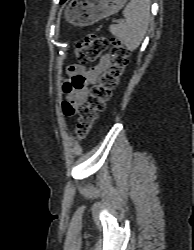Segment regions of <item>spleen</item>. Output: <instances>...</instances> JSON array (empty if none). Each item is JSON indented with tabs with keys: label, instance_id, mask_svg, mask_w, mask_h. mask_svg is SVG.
Segmentation results:
<instances>
[{
	"label": "spleen",
	"instance_id": "spleen-1",
	"mask_svg": "<svg viewBox=\"0 0 194 250\" xmlns=\"http://www.w3.org/2000/svg\"><path fill=\"white\" fill-rule=\"evenodd\" d=\"M125 22L111 25L109 31L129 50H135L142 42L151 19L150 0H130L123 11Z\"/></svg>",
	"mask_w": 194,
	"mask_h": 250
}]
</instances>
